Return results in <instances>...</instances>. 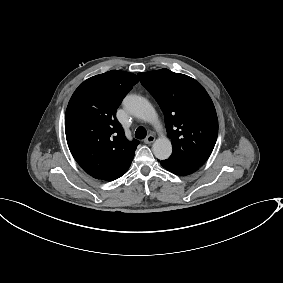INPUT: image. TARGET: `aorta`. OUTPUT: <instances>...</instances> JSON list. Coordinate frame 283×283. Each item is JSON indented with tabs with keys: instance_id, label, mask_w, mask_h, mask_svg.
Returning a JSON list of instances; mask_svg holds the SVG:
<instances>
[{
	"instance_id": "obj_1",
	"label": "aorta",
	"mask_w": 283,
	"mask_h": 283,
	"mask_svg": "<svg viewBox=\"0 0 283 283\" xmlns=\"http://www.w3.org/2000/svg\"><path fill=\"white\" fill-rule=\"evenodd\" d=\"M123 105L124 108L134 116L153 123L156 127L160 125L158 115L147 99L137 95H127L123 100ZM152 148L155 157L160 160L169 158L172 153L171 141L166 136H161L156 139Z\"/></svg>"
}]
</instances>
